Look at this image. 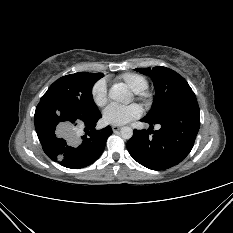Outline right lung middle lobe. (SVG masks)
I'll use <instances>...</instances> for the list:
<instances>
[{
	"instance_id": "obj_1",
	"label": "right lung middle lobe",
	"mask_w": 233,
	"mask_h": 233,
	"mask_svg": "<svg viewBox=\"0 0 233 233\" xmlns=\"http://www.w3.org/2000/svg\"><path fill=\"white\" fill-rule=\"evenodd\" d=\"M102 73L79 72L59 78L42 96L40 102H50L75 117H89L99 113L92 98L94 83Z\"/></svg>"
}]
</instances>
